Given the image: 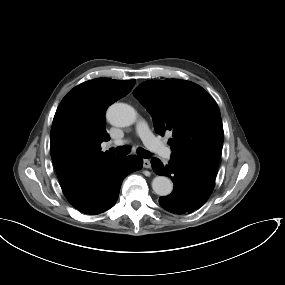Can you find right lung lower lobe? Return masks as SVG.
<instances>
[{
  "label": "right lung lower lobe",
  "mask_w": 285,
  "mask_h": 285,
  "mask_svg": "<svg viewBox=\"0 0 285 285\" xmlns=\"http://www.w3.org/2000/svg\"><path fill=\"white\" fill-rule=\"evenodd\" d=\"M143 160L131 155L103 171L70 204L84 214L96 215L110 209L117 201L123 179L142 168Z\"/></svg>",
  "instance_id": "obj_1"
}]
</instances>
